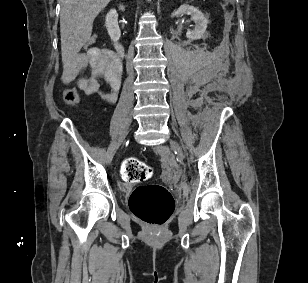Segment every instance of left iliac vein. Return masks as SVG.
<instances>
[{
    "mask_svg": "<svg viewBox=\"0 0 308 283\" xmlns=\"http://www.w3.org/2000/svg\"><path fill=\"white\" fill-rule=\"evenodd\" d=\"M170 145H171L172 149H173L174 151H176L177 156H178L179 158H183V157H184L183 151H182V149H181V147H180V145H179L178 142H176L175 140H170Z\"/></svg>",
    "mask_w": 308,
    "mask_h": 283,
    "instance_id": "4c4485c4",
    "label": "left iliac vein"
}]
</instances>
